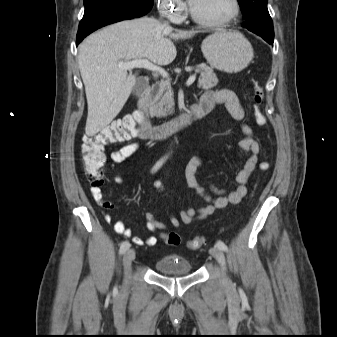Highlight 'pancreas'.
Returning a JSON list of instances; mask_svg holds the SVG:
<instances>
[{
	"mask_svg": "<svg viewBox=\"0 0 337 337\" xmlns=\"http://www.w3.org/2000/svg\"><path fill=\"white\" fill-rule=\"evenodd\" d=\"M197 72H200L198 87L204 90L213 88L218 84V79L212 67L205 64L197 66ZM173 92L168 80H162L154 89L151 113L157 117H165L173 113Z\"/></svg>",
	"mask_w": 337,
	"mask_h": 337,
	"instance_id": "cf45deb5",
	"label": "pancreas"
}]
</instances>
